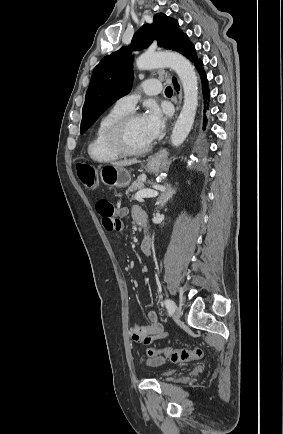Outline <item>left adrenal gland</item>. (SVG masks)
<instances>
[{
  "mask_svg": "<svg viewBox=\"0 0 283 434\" xmlns=\"http://www.w3.org/2000/svg\"><path fill=\"white\" fill-rule=\"evenodd\" d=\"M166 190L159 196L157 204L159 205V208H163L165 204L168 202V200L175 194V189H173L170 184H165Z\"/></svg>",
  "mask_w": 283,
  "mask_h": 434,
  "instance_id": "left-adrenal-gland-1",
  "label": "left adrenal gland"
}]
</instances>
